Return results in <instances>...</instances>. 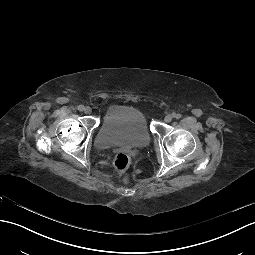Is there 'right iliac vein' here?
Segmentation results:
<instances>
[{
    "mask_svg": "<svg viewBox=\"0 0 255 255\" xmlns=\"http://www.w3.org/2000/svg\"><path fill=\"white\" fill-rule=\"evenodd\" d=\"M91 112H92V110H91L90 107H85V108H84V113H85V114L89 115V114H91Z\"/></svg>",
    "mask_w": 255,
    "mask_h": 255,
    "instance_id": "63e3f726",
    "label": "right iliac vein"
}]
</instances>
